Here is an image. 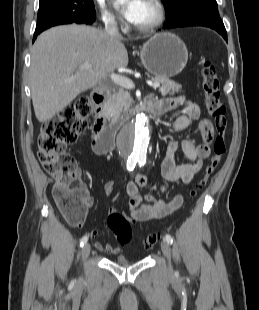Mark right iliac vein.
<instances>
[{
    "label": "right iliac vein",
    "instance_id": "1",
    "mask_svg": "<svg viewBox=\"0 0 259 310\" xmlns=\"http://www.w3.org/2000/svg\"><path fill=\"white\" fill-rule=\"evenodd\" d=\"M82 259L85 260L90 254V245L88 243L84 244L82 251Z\"/></svg>",
    "mask_w": 259,
    "mask_h": 310
}]
</instances>
